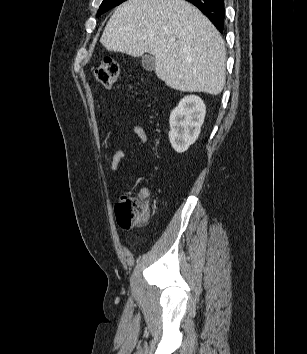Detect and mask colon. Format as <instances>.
Returning a JSON list of instances; mask_svg holds the SVG:
<instances>
[{
	"label": "colon",
	"instance_id": "obj_1",
	"mask_svg": "<svg viewBox=\"0 0 307 354\" xmlns=\"http://www.w3.org/2000/svg\"><path fill=\"white\" fill-rule=\"evenodd\" d=\"M93 75L101 85L110 88L120 77V66L115 60L106 58L94 69ZM151 211L149 195L122 196L115 206L116 220L122 229L143 227L149 221Z\"/></svg>",
	"mask_w": 307,
	"mask_h": 354
}]
</instances>
